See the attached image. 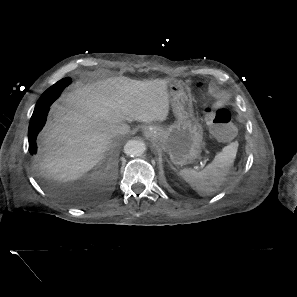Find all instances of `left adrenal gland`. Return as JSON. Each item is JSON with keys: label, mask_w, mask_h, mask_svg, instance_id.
Returning <instances> with one entry per match:
<instances>
[{"label": "left adrenal gland", "mask_w": 297, "mask_h": 297, "mask_svg": "<svg viewBox=\"0 0 297 297\" xmlns=\"http://www.w3.org/2000/svg\"><path fill=\"white\" fill-rule=\"evenodd\" d=\"M172 169H175L172 165H171Z\"/></svg>", "instance_id": "a2214340"}]
</instances>
